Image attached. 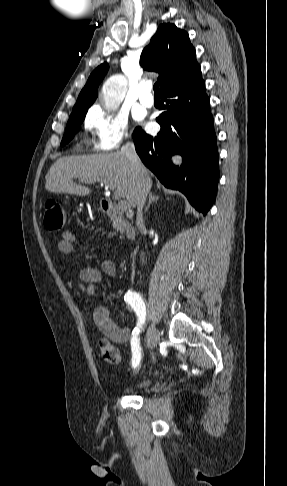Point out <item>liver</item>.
I'll return each instance as SVG.
<instances>
[{
  "mask_svg": "<svg viewBox=\"0 0 287 486\" xmlns=\"http://www.w3.org/2000/svg\"><path fill=\"white\" fill-rule=\"evenodd\" d=\"M76 178L85 183L111 182L116 196L125 197L132 207L137 205L138 175L131 160L120 151L59 158L45 177V188L54 193L90 195L89 188L73 182Z\"/></svg>",
  "mask_w": 287,
  "mask_h": 486,
  "instance_id": "liver-1",
  "label": "liver"
}]
</instances>
